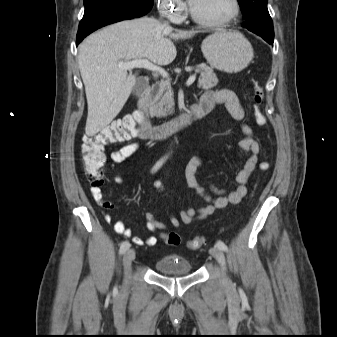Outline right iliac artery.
Returning a JSON list of instances; mask_svg holds the SVG:
<instances>
[{"label":"right iliac artery","instance_id":"82829eb1","mask_svg":"<svg viewBox=\"0 0 337 337\" xmlns=\"http://www.w3.org/2000/svg\"><path fill=\"white\" fill-rule=\"evenodd\" d=\"M165 162V158L160 159L152 168V173L156 172ZM130 243L128 241H125L121 244L119 253L123 254L127 249H129Z\"/></svg>","mask_w":337,"mask_h":337}]
</instances>
